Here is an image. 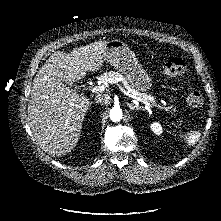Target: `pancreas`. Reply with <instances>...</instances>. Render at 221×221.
I'll return each instance as SVG.
<instances>
[{"instance_id": "cf45deb5", "label": "pancreas", "mask_w": 221, "mask_h": 221, "mask_svg": "<svg viewBox=\"0 0 221 221\" xmlns=\"http://www.w3.org/2000/svg\"><path fill=\"white\" fill-rule=\"evenodd\" d=\"M99 79L102 81L104 86L116 83L118 79H122V83L124 84L125 88L129 89L131 93H137L139 97H142L144 100L150 102L151 104H155L154 97H152L151 95L138 92L137 90L131 88L128 82L126 81V79L120 73L109 71L101 75Z\"/></svg>"}]
</instances>
